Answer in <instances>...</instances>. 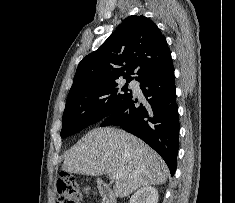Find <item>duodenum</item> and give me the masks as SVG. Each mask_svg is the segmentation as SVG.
Instances as JSON below:
<instances>
[{
  "label": "duodenum",
  "mask_w": 235,
  "mask_h": 203,
  "mask_svg": "<svg viewBox=\"0 0 235 203\" xmlns=\"http://www.w3.org/2000/svg\"><path fill=\"white\" fill-rule=\"evenodd\" d=\"M97 189L102 198V203H117L113 190L106 182L98 180Z\"/></svg>",
  "instance_id": "1"
}]
</instances>
